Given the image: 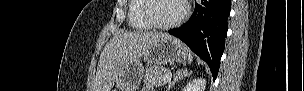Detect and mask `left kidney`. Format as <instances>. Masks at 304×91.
Listing matches in <instances>:
<instances>
[{
	"label": "left kidney",
	"mask_w": 304,
	"mask_h": 91,
	"mask_svg": "<svg viewBox=\"0 0 304 91\" xmlns=\"http://www.w3.org/2000/svg\"><path fill=\"white\" fill-rule=\"evenodd\" d=\"M206 87V80L203 78H198L189 82L182 91H204Z\"/></svg>",
	"instance_id": "1"
}]
</instances>
